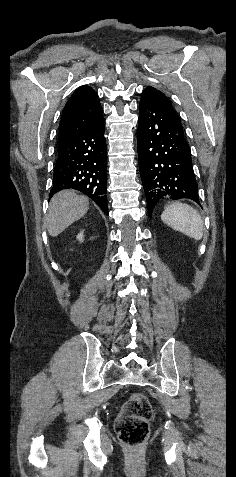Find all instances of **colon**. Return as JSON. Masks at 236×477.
I'll return each mask as SVG.
<instances>
[{"mask_svg": "<svg viewBox=\"0 0 236 477\" xmlns=\"http://www.w3.org/2000/svg\"><path fill=\"white\" fill-rule=\"evenodd\" d=\"M153 408L148 398L135 392L123 404L116 420L118 439L127 447L142 445L149 436Z\"/></svg>", "mask_w": 236, "mask_h": 477, "instance_id": "obj_1", "label": "colon"}]
</instances>
